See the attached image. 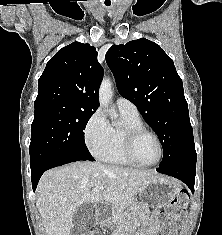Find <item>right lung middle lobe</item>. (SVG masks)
Returning <instances> with one entry per match:
<instances>
[{"instance_id": "dd1d6c3e", "label": "right lung middle lobe", "mask_w": 222, "mask_h": 235, "mask_svg": "<svg viewBox=\"0 0 222 235\" xmlns=\"http://www.w3.org/2000/svg\"><path fill=\"white\" fill-rule=\"evenodd\" d=\"M94 112L56 105L34 113L29 146L31 170L56 158L94 159L83 132Z\"/></svg>"}]
</instances>
